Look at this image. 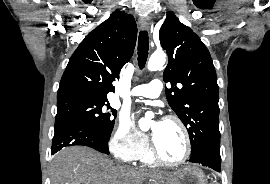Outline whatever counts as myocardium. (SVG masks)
I'll return each instance as SVG.
<instances>
[{"label":"myocardium","instance_id":"1","mask_svg":"<svg viewBox=\"0 0 270 184\" xmlns=\"http://www.w3.org/2000/svg\"><path fill=\"white\" fill-rule=\"evenodd\" d=\"M164 121L174 122L181 129L183 137H184V142H185L184 155L178 161H168V160L164 159L160 155L158 148H157L153 139L151 141V153H152L155 161H157L158 163L165 165V166H168V167H179V166L185 164L188 161V159L190 158L191 151H192L190 134H189V131H188L185 123L179 117H177L175 115H167L164 117Z\"/></svg>","mask_w":270,"mask_h":184}]
</instances>
